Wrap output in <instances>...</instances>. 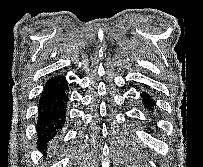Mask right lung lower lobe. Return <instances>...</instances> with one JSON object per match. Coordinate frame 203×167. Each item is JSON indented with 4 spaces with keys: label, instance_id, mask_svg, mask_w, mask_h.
Masks as SVG:
<instances>
[{
    "label": "right lung lower lobe",
    "instance_id": "obj_1",
    "mask_svg": "<svg viewBox=\"0 0 203 167\" xmlns=\"http://www.w3.org/2000/svg\"><path fill=\"white\" fill-rule=\"evenodd\" d=\"M68 101L69 92L65 77L56 75L49 79L38 105L36 130L39 149H47V146L60 135L66 122Z\"/></svg>",
    "mask_w": 203,
    "mask_h": 167
}]
</instances>
